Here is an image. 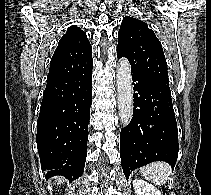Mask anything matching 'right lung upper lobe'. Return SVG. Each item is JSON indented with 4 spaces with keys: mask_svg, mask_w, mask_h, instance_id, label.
I'll return each instance as SVG.
<instances>
[{
    "mask_svg": "<svg viewBox=\"0 0 211 195\" xmlns=\"http://www.w3.org/2000/svg\"><path fill=\"white\" fill-rule=\"evenodd\" d=\"M91 64L92 49L86 33L77 26H71L52 56L47 81L74 74Z\"/></svg>",
    "mask_w": 211,
    "mask_h": 195,
    "instance_id": "obj_1",
    "label": "right lung upper lobe"
}]
</instances>
